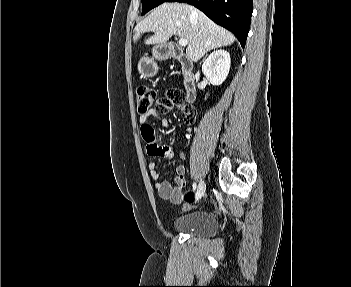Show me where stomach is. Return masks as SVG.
<instances>
[{
	"instance_id": "obj_1",
	"label": "stomach",
	"mask_w": 351,
	"mask_h": 287,
	"mask_svg": "<svg viewBox=\"0 0 351 287\" xmlns=\"http://www.w3.org/2000/svg\"><path fill=\"white\" fill-rule=\"evenodd\" d=\"M152 53H153V58L143 57L142 59H140L138 64L139 73L144 78L152 77L157 73L158 66L154 61V58L164 59L167 57V53L163 51V47L160 45L155 46L152 50Z\"/></svg>"
}]
</instances>
